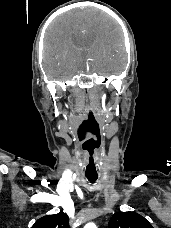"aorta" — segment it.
<instances>
[{"instance_id":"aorta-1","label":"aorta","mask_w":171,"mask_h":228,"mask_svg":"<svg viewBox=\"0 0 171 228\" xmlns=\"http://www.w3.org/2000/svg\"><path fill=\"white\" fill-rule=\"evenodd\" d=\"M84 228H97L94 223H88L84 226Z\"/></svg>"}]
</instances>
